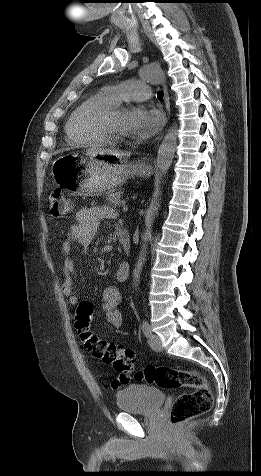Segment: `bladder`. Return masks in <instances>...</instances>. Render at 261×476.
<instances>
[{
    "mask_svg": "<svg viewBox=\"0 0 261 476\" xmlns=\"http://www.w3.org/2000/svg\"><path fill=\"white\" fill-rule=\"evenodd\" d=\"M164 401L165 394L161 389L146 384H132L116 394L118 409L130 414H152Z\"/></svg>",
    "mask_w": 261,
    "mask_h": 476,
    "instance_id": "bladder-1",
    "label": "bladder"
}]
</instances>
